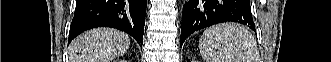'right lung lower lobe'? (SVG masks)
<instances>
[{
  "mask_svg": "<svg viewBox=\"0 0 331 62\" xmlns=\"http://www.w3.org/2000/svg\"><path fill=\"white\" fill-rule=\"evenodd\" d=\"M146 7L147 0H77L68 43L88 29L112 27L142 46Z\"/></svg>",
  "mask_w": 331,
  "mask_h": 62,
  "instance_id": "obj_1",
  "label": "right lung lower lobe"
}]
</instances>
